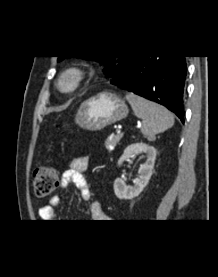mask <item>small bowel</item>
I'll list each match as a JSON object with an SVG mask.
<instances>
[{"mask_svg":"<svg viewBox=\"0 0 218 277\" xmlns=\"http://www.w3.org/2000/svg\"><path fill=\"white\" fill-rule=\"evenodd\" d=\"M89 166L88 156H78L70 160L69 167L65 170L61 177L60 187L66 188L70 183H73L75 187L80 191L81 197L84 201H90L92 198L91 189L83 172L87 170ZM60 203V195L53 196L48 205L39 208V216L46 222H51L56 218L54 207ZM91 216L93 220H103L106 218L100 204L97 201L91 204Z\"/></svg>","mask_w":218,"mask_h":277,"instance_id":"1","label":"small bowel"}]
</instances>
